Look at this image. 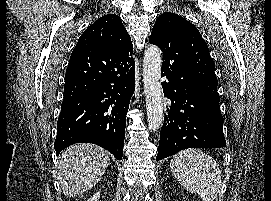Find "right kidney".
I'll return each instance as SVG.
<instances>
[{
	"mask_svg": "<svg viewBox=\"0 0 271 201\" xmlns=\"http://www.w3.org/2000/svg\"><path fill=\"white\" fill-rule=\"evenodd\" d=\"M100 197V192L98 191L96 194H94L90 199L87 201H98V198Z\"/></svg>",
	"mask_w": 271,
	"mask_h": 201,
	"instance_id": "ca27d5eb",
	"label": "right kidney"
}]
</instances>
